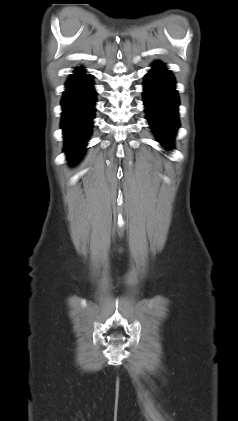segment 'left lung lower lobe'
I'll return each mask as SVG.
<instances>
[{
    "label": "left lung lower lobe",
    "instance_id": "left-lung-lower-lobe-1",
    "mask_svg": "<svg viewBox=\"0 0 238 421\" xmlns=\"http://www.w3.org/2000/svg\"><path fill=\"white\" fill-rule=\"evenodd\" d=\"M144 103L147 119L160 143L171 147L179 127L177 107L179 99L172 74L160 64L146 74L144 81Z\"/></svg>",
    "mask_w": 238,
    "mask_h": 421
}]
</instances>
